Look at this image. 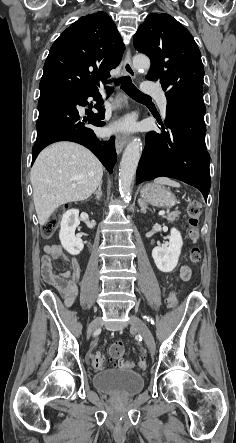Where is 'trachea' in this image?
I'll list each match as a JSON object with an SVG mask.
<instances>
[{"label": "trachea", "mask_w": 236, "mask_h": 443, "mask_svg": "<svg viewBox=\"0 0 236 443\" xmlns=\"http://www.w3.org/2000/svg\"><path fill=\"white\" fill-rule=\"evenodd\" d=\"M115 82H116V84H121V87L124 90V92L127 95H129L131 98H133L139 102L151 100L150 96L145 95L144 93L139 91L134 86V84L132 83V80L129 76L121 77V78L117 79Z\"/></svg>", "instance_id": "1"}]
</instances>
